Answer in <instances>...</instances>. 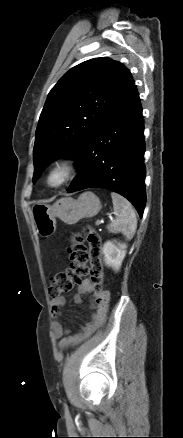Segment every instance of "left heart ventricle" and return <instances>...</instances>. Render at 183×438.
Wrapping results in <instances>:
<instances>
[{"label":"left heart ventricle","instance_id":"left-heart-ventricle-1","mask_svg":"<svg viewBox=\"0 0 183 438\" xmlns=\"http://www.w3.org/2000/svg\"><path fill=\"white\" fill-rule=\"evenodd\" d=\"M62 178V175L60 173H54L51 177H50V182L52 184H56L58 183Z\"/></svg>","mask_w":183,"mask_h":438}]
</instances>
